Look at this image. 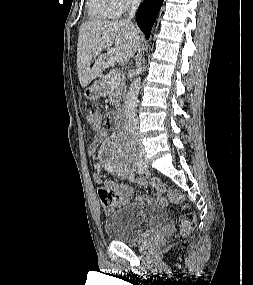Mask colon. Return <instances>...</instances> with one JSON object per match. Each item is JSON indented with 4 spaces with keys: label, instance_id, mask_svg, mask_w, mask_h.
<instances>
[{
    "label": "colon",
    "instance_id": "5ec220e1",
    "mask_svg": "<svg viewBox=\"0 0 253 285\" xmlns=\"http://www.w3.org/2000/svg\"><path fill=\"white\" fill-rule=\"evenodd\" d=\"M87 119L91 127H97L100 126L101 124L100 115L94 111L87 112ZM167 196L169 201L172 203L183 204L184 206L186 205L184 196L182 195V193H180L177 190L174 189L169 190ZM98 197L101 203L106 207L123 202V198L117 191L107 187H101L98 190ZM195 226H196L195 215L193 213L187 212L181 220L182 233L184 234L190 233L195 228Z\"/></svg>",
    "mask_w": 253,
    "mask_h": 285
}]
</instances>
